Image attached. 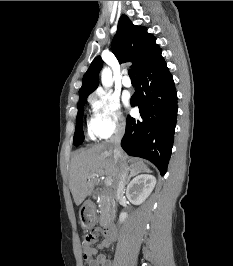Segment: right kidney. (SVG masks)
Returning <instances> with one entry per match:
<instances>
[{"label": "right kidney", "mask_w": 233, "mask_h": 266, "mask_svg": "<svg viewBox=\"0 0 233 266\" xmlns=\"http://www.w3.org/2000/svg\"><path fill=\"white\" fill-rule=\"evenodd\" d=\"M156 185V178L153 175L143 174L135 177L127 186V198L136 205L143 203L151 194ZM128 217L127 213H121L120 223H123Z\"/></svg>", "instance_id": "ca27d5eb"}]
</instances>
